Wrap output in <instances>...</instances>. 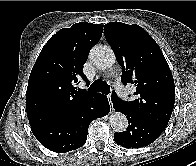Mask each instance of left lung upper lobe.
<instances>
[{
  "instance_id": "left-lung-upper-lobe-1",
  "label": "left lung upper lobe",
  "mask_w": 196,
  "mask_h": 166,
  "mask_svg": "<svg viewBox=\"0 0 196 166\" xmlns=\"http://www.w3.org/2000/svg\"><path fill=\"white\" fill-rule=\"evenodd\" d=\"M107 41L122 66L121 81L135 84L136 99L123 101L113 92L112 102L140 118L167 126L175 103V85L168 63L155 40L139 25H104Z\"/></svg>"
}]
</instances>
